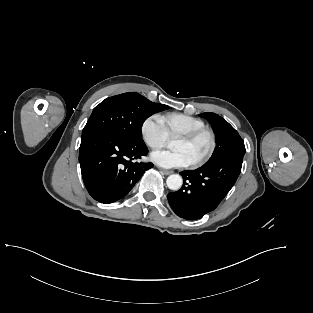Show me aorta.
Instances as JSON below:
<instances>
[{
  "mask_svg": "<svg viewBox=\"0 0 313 313\" xmlns=\"http://www.w3.org/2000/svg\"><path fill=\"white\" fill-rule=\"evenodd\" d=\"M166 184L169 189L176 191L181 188L183 179L179 174H172L167 178Z\"/></svg>",
  "mask_w": 313,
  "mask_h": 313,
  "instance_id": "762f6f07",
  "label": "aorta"
}]
</instances>
